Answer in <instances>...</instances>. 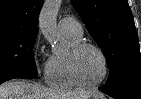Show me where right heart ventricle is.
Masks as SVG:
<instances>
[{
  "instance_id": "e07e8e85",
  "label": "right heart ventricle",
  "mask_w": 141,
  "mask_h": 99,
  "mask_svg": "<svg viewBox=\"0 0 141 99\" xmlns=\"http://www.w3.org/2000/svg\"><path fill=\"white\" fill-rule=\"evenodd\" d=\"M64 37L71 47L81 42V37L69 34H64ZM68 55L69 53L52 55L46 64V82L53 88L69 90L78 87L70 72Z\"/></svg>"
}]
</instances>
